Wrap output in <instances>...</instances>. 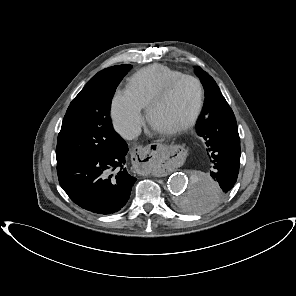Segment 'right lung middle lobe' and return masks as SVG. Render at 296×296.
<instances>
[{
	"label": "right lung middle lobe",
	"mask_w": 296,
	"mask_h": 296,
	"mask_svg": "<svg viewBox=\"0 0 296 296\" xmlns=\"http://www.w3.org/2000/svg\"><path fill=\"white\" fill-rule=\"evenodd\" d=\"M131 68L127 64L98 72L74 98L58 134V165L122 148L124 140L113 129L109 110L116 87Z\"/></svg>",
	"instance_id": "dd1d6c3e"
}]
</instances>
